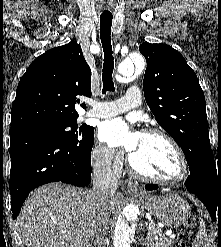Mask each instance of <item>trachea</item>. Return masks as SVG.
I'll return each mask as SVG.
<instances>
[{
    "label": "trachea",
    "mask_w": 221,
    "mask_h": 247,
    "mask_svg": "<svg viewBox=\"0 0 221 247\" xmlns=\"http://www.w3.org/2000/svg\"><path fill=\"white\" fill-rule=\"evenodd\" d=\"M112 15H100V38L104 51V63H103V89L102 93L106 94L107 91L114 92L115 87L113 83V69H114V58L112 55L111 46V26H112Z\"/></svg>",
    "instance_id": "obj_1"
}]
</instances>
